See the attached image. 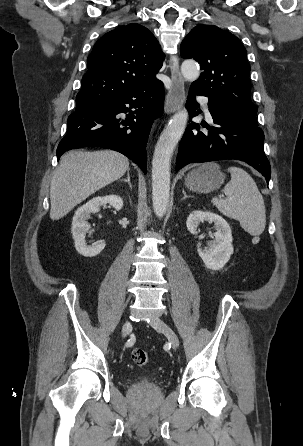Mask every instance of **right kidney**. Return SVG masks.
Returning <instances> with one entry per match:
<instances>
[{
  "label": "right kidney",
  "mask_w": 303,
  "mask_h": 446,
  "mask_svg": "<svg viewBox=\"0 0 303 446\" xmlns=\"http://www.w3.org/2000/svg\"><path fill=\"white\" fill-rule=\"evenodd\" d=\"M107 203L118 211L123 207L122 198L117 195H109L95 197L89 200L86 204L79 207L74 214L71 232L77 252L84 257L97 256L105 248L104 242L88 246L86 243V233L90 229V225L87 222L90 214L99 212L100 207Z\"/></svg>",
  "instance_id": "1"
}]
</instances>
